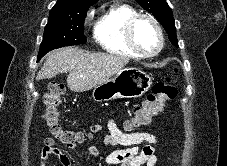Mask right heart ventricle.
<instances>
[{"instance_id":"e07e8e85","label":"right heart ventricle","mask_w":227,"mask_h":166,"mask_svg":"<svg viewBox=\"0 0 227 166\" xmlns=\"http://www.w3.org/2000/svg\"><path fill=\"white\" fill-rule=\"evenodd\" d=\"M137 11L126 3L110 5L95 22L94 37L98 45L106 52L139 58L128 45L125 37V26Z\"/></svg>"}]
</instances>
